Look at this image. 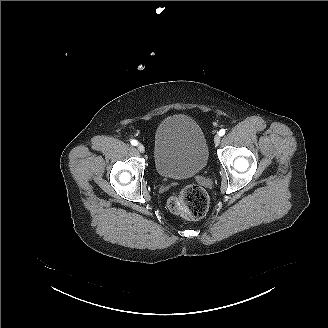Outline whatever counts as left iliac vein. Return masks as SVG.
<instances>
[{"instance_id":"1","label":"left iliac vein","mask_w":328,"mask_h":328,"mask_svg":"<svg viewBox=\"0 0 328 328\" xmlns=\"http://www.w3.org/2000/svg\"><path fill=\"white\" fill-rule=\"evenodd\" d=\"M220 140H221L220 135L219 134H216L214 136V143H215V145H218L220 143Z\"/></svg>"}]
</instances>
